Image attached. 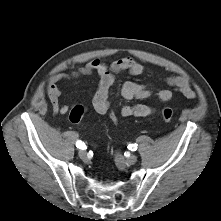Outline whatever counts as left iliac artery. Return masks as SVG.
Masks as SVG:
<instances>
[{
  "instance_id": "left-iliac-artery-1",
  "label": "left iliac artery",
  "mask_w": 221,
  "mask_h": 221,
  "mask_svg": "<svg viewBox=\"0 0 221 221\" xmlns=\"http://www.w3.org/2000/svg\"><path fill=\"white\" fill-rule=\"evenodd\" d=\"M128 149L131 150V151H136L137 150V144L128 145Z\"/></svg>"
}]
</instances>
